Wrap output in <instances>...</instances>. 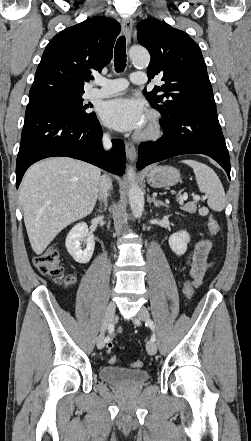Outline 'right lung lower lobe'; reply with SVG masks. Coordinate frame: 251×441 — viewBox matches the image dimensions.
<instances>
[{
	"label": "right lung lower lobe",
	"instance_id": "right-lung-lower-lobe-1",
	"mask_svg": "<svg viewBox=\"0 0 251 441\" xmlns=\"http://www.w3.org/2000/svg\"><path fill=\"white\" fill-rule=\"evenodd\" d=\"M101 138L102 129L95 114L87 120H78L53 109L28 104L16 161V188L29 166L52 156L76 158L122 175L124 142L113 139L112 150L104 153Z\"/></svg>",
	"mask_w": 251,
	"mask_h": 441
}]
</instances>
